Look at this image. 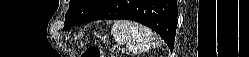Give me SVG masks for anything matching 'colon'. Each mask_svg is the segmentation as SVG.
I'll use <instances>...</instances> for the list:
<instances>
[{
	"mask_svg": "<svg viewBox=\"0 0 249 57\" xmlns=\"http://www.w3.org/2000/svg\"><path fill=\"white\" fill-rule=\"evenodd\" d=\"M82 57H105V56L99 48L89 47L83 52Z\"/></svg>",
	"mask_w": 249,
	"mask_h": 57,
	"instance_id": "obj_1",
	"label": "colon"
}]
</instances>
